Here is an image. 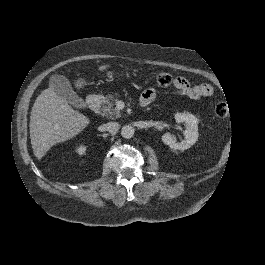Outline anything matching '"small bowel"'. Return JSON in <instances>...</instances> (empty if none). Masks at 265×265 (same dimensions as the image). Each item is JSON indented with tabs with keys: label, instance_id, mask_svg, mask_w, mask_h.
Listing matches in <instances>:
<instances>
[{
	"label": "small bowel",
	"instance_id": "c3829d8e",
	"mask_svg": "<svg viewBox=\"0 0 265 265\" xmlns=\"http://www.w3.org/2000/svg\"><path fill=\"white\" fill-rule=\"evenodd\" d=\"M175 92L191 99L210 97L213 94V87L207 83L192 85L185 77H176L173 81ZM156 91L152 88L143 91L140 97L142 105H148L156 98Z\"/></svg>",
	"mask_w": 265,
	"mask_h": 265
}]
</instances>
